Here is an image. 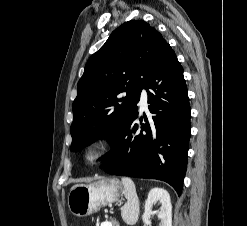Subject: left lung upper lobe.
Instances as JSON below:
<instances>
[{
	"mask_svg": "<svg viewBox=\"0 0 247 226\" xmlns=\"http://www.w3.org/2000/svg\"><path fill=\"white\" fill-rule=\"evenodd\" d=\"M166 44L161 33L144 20L125 22L111 33L89 58L78 82L71 151L98 137L114 143L134 114L147 75Z\"/></svg>",
	"mask_w": 247,
	"mask_h": 226,
	"instance_id": "left-lung-upper-lobe-1",
	"label": "left lung upper lobe"
}]
</instances>
